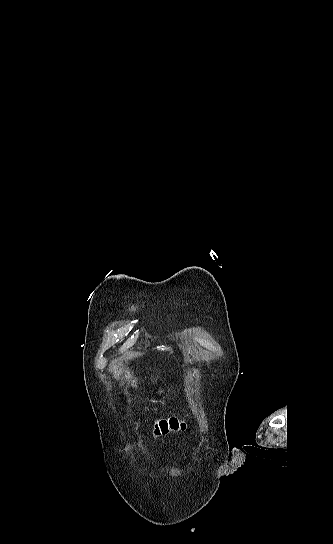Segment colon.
Listing matches in <instances>:
<instances>
[{
    "label": "colon",
    "instance_id": "1",
    "mask_svg": "<svg viewBox=\"0 0 333 544\" xmlns=\"http://www.w3.org/2000/svg\"><path fill=\"white\" fill-rule=\"evenodd\" d=\"M186 429L185 421L178 418L161 419L154 423V434L161 436L170 432L184 431Z\"/></svg>",
    "mask_w": 333,
    "mask_h": 544
}]
</instances>
